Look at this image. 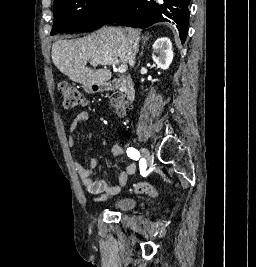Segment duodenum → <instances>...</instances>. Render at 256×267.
I'll list each match as a JSON object with an SVG mask.
<instances>
[{"label":"duodenum","instance_id":"duodenum-1","mask_svg":"<svg viewBox=\"0 0 256 267\" xmlns=\"http://www.w3.org/2000/svg\"><path fill=\"white\" fill-rule=\"evenodd\" d=\"M88 85H82V90H86V94H99V90L106 91L121 90L129 101L136 99V87L132 77H117L110 81H91Z\"/></svg>","mask_w":256,"mask_h":267}]
</instances>
